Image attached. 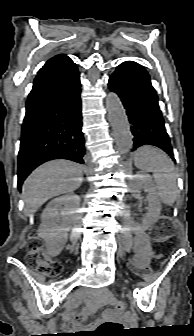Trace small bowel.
Here are the masks:
<instances>
[{"label":"small bowel","mask_w":194,"mask_h":336,"mask_svg":"<svg viewBox=\"0 0 194 336\" xmlns=\"http://www.w3.org/2000/svg\"><path fill=\"white\" fill-rule=\"evenodd\" d=\"M136 250H137V256L135 259L136 264L144 268L147 266L150 256H151V250H150V245L148 242V238L146 234L144 233H139L136 237ZM84 298V294H78L76 296V301L79 302ZM97 299L100 300L101 302H112L113 297L108 290H102L100 294L97 296ZM65 320L75 326H81L82 324V317L80 315H71L67 314L65 316Z\"/></svg>","instance_id":"obj_1"}]
</instances>
